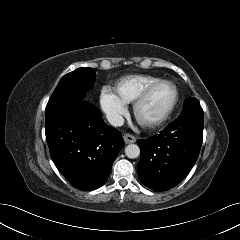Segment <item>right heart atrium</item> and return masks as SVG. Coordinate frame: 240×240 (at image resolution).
I'll list each match as a JSON object with an SVG mask.
<instances>
[{
  "label": "right heart atrium",
  "instance_id": "obj_1",
  "mask_svg": "<svg viewBox=\"0 0 240 240\" xmlns=\"http://www.w3.org/2000/svg\"><path fill=\"white\" fill-rule=\"evenodd\" d=\"M100 105L106 118L113 125L120 124L127 113V104L107 86L101 90Z\"/></svg>",
  "mask_w": 240,
  "mask_h": 240
}]
</instances>
